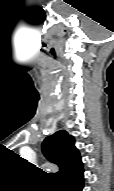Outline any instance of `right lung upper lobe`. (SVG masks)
Returning <instances> with one entry per match:
<instances>
[{
    "label": "right lung upper lobe",
    "mask_w": 114,
    "mask_h": 191,
    "mask_svg": "<svg viewBox=\"0 0 114 191\" xmlns=\"http://www.w3.org/2000/svg\"><path fill=\"white\" fill-rule=\"evenodd\" d=\"M74 142V137L61 130L48 136L42 143L45 157L59 167V172L54 174L58 182L82 168L80 154Z\"/></svg>",
    "instance_id": "1"
}]
</instances>
